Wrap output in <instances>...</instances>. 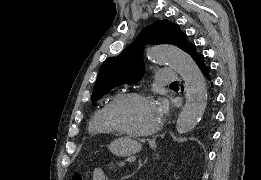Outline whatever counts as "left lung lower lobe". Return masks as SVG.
I'll list each match as a JSON object with an SVG mask.
<instances>
[{
	"label": "left lung lower lobe",
	"mask_w": 261,
	"mask_h": 180,
	"mask_svg": "<svg viewBox=\"0 0 261 180\" xmlns=\"http://www.w3.org/2000/svg\"><path fill=\"white\" fill-rule=\"evenodd\" d=\"M188 54L192 56V58L197 63L198 67L200 68V70L202 71L204 76L210 81L211 79L209 77V72H210L209 67L204 64V56L202 54H198L196 52V46L195 45H193L189 49Z\"/></svg>",
	"instance_id": "left-lung-lower-lobe-1"
}]
</instances>
